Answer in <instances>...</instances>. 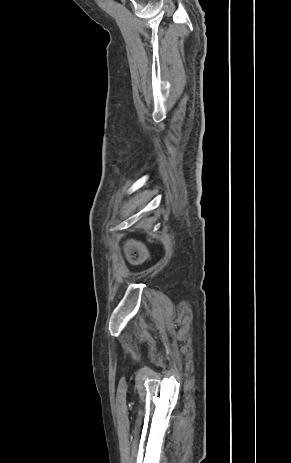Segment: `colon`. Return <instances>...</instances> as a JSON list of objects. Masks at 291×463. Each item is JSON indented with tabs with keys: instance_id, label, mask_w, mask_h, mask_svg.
Listing matches in <instances>:
<instances>
[{
	"instance_id": "5ec220e1",
	"label": "colon",
	"mask_w": 291,
	"mask_h": 463,
	"mask_svg": "<svg viewBox=\"0 0 291 463\" xmlns=\"http://www.w3.org/2000/svg\"><path fill=\"white\" fill-rule=\"evenodd\" d=\"M130 257H131L132 261H137L138 255H137L136 250H132V251H131Z\"/></svg>"
}]
</instances>
